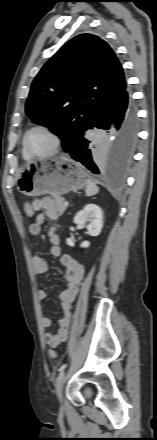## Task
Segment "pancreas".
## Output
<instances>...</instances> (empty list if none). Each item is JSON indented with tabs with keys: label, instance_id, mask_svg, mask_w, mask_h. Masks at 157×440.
Listing matches in <instances>:
<instances>
[{
	"label": "pancreas",
	"instance_id": "pancreas-1",
	"mask_svg": "<svg viewBox=\"0 0 157 440\" xmlns=\"http://www.w3.org/2000/svg\"><path fill=\"white\" fill-rule=\"evenodd\" d=\"M55 210L59 215H62L66 210L67 206L64 205V198L60 196H53Z\"/></svg>",
	"mask_w": 157,
	"mask_h": 440
}]
</instances>
